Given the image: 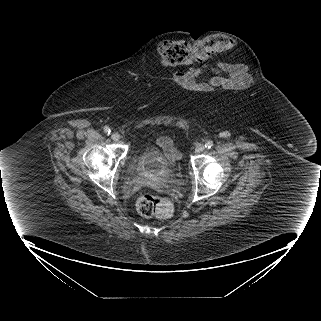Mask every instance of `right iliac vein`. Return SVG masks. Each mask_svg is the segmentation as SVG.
I'll return each instance as SVG.
<instances>
[{"label": "right iliac vein", "mask_w": 321, "mask_h": 321, "mask_svg": "<svg viewBox=\"0 0 321 321\" xmlns=\"http://www.w3.org/2000/svg\"><path fill=\"white\" fill-rule=\"evenodd\" d=\"M111 138H112L114 141H119V140H120V135H119V133L114 132V133L111 134Z\"/></svg>", "instance_id": "1"}]
</instances>
